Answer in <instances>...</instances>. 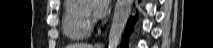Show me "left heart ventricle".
Returning <instances> with one entry per match:
<instances>
[{
    "mask_svg": "<svg viewBox=\"0 0 213 48\" xmlns=\"http://www.w3.org/2000/svg\"><path fill=\"white\" fill-rule=\"evenodd\" d=\"M92 8H93V3H89V4L84 5V10L88 13H91Z\"/></svg>",
    "mask_w": 213,
    "mask_h": 48,
    "instance_id": "left-heart-ventricle-1",
    "label": "left heart ventricle"
}]
</instances>
